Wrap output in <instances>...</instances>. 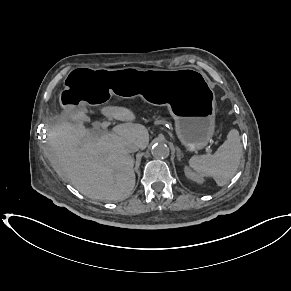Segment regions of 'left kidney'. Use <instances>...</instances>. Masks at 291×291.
Masks as SVG:
<instances>
[{"label": "left kidney", "mask_w": 291, "mask_h": 291, "mask_svg": "<svg viewBox=\"0 0 291 291\" xmlns=\"http://www.w3.org/2000/svg\"><path fill=\"white\" fill-rule=\"evenodd\" d=\"M184 173H185L186 177L192 181H195L197 183L203 182V178L200 175L191 171L188 167L184 168Z\"/></svg>", "instance_id": "left-kidney-1"}]
</instances>
